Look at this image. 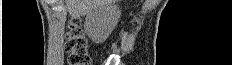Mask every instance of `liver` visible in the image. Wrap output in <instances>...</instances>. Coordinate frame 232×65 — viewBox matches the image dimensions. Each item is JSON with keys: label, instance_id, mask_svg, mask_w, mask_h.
Here are the masks:
<instances>
[{"label": "liver", "instance_id": "6515ba94", "mask_svg": "<svg viewBox=\"0 0 232 65\" xmlns=\"http://www.w3.org/2000/svg\"><path fill=\"white\" fill-rule=\"evenodd\" d=\"M119 0H65L69 14L79 18L90 13L94 8L114 4Z\"/></svg>", "mask_w": 232, "mask_h": 65}]
</instances>
